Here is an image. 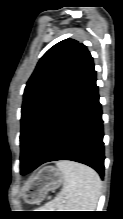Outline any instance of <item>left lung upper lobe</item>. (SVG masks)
Listing matches in <instances>:
<instances>
[{
    "instance_id": "obj_1",
    "label": "left lung upper lobe",
    "mask_w": 123,
    "mask_h": 219,
    "mask_svg": "<svg viewBox=\"0 0 123 219\" xmlns=\"http://www.w3.org/2000/svg\"><path fill=\"white\" fill-rule=\"evenodd\" d=\"M92 66L86 46L73 39L55 44L42 56L23 95L21 169L31 159L56 110Z\"/></svg>"
}]
</instances>
